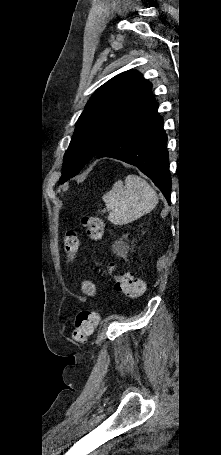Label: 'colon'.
<instances>
[{
    "instance_id": "obj_1",
    "label": "colon",
    "mask_w": 221,
    "mask_h": 455,
    "mask_svg": "<svg viewBox=\"0 0 221 455\" xmlns=\"http://www.w3.org/2000/svg\"><path fill=\"white\" fill-rule=\"evenodd\" d=\"M82 224L86 233L93 240H100L104 233V222L98 216H84ZM63 251L67 261H73L79 252V238L73 229H68L64 235ZM105 273L111 275L114 280L116 291L123 293L130 298H138L146 291V283L143 279L133 277L130 274H115L113 267L109 266ZM99 316L94 311H80L75 320V329L72 333V339L75 342L82 343L95 330L98 324Z\"/></svg>"
}]
</instances>
